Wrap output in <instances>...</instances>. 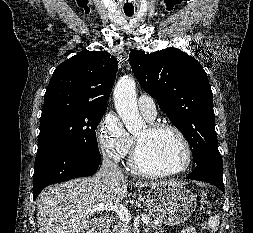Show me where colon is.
I'll use <instances>...</instances> for the list:
<instances>
[{
	"mask_svg": "<svg viewBox=\"0 0 253 233\" xmlns=\"http://www.w3.org/2000/svg\"><path fill=\"white\" fill-rule=\"evenodd\" d=\"M210 204L204 196L201 197V209L198 216V224L200 226V233H212L209 226Z\"/></svg>",
	"mask_w": 253,
	"mask_h": 233,
	"instance_id": "1",
	"label": "colon"
}]
</instances>
